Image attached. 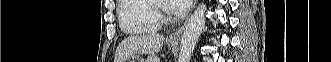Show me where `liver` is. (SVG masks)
<instances>
[{"label":"liver","instance_id":"obj_1","mask_svg":"<svg viewBox=\"0 0 331 62\" xmlns=\"http://www.w3.org/2000/svg\"><path fill=\"white\" fill-rule=\"evenodd\" d=\"M164 43V36L160 34H143L124 39L117 47L114 62H125L135 54L158 53Z\"/></svg>","mask_w":331,"mask_h":62}]
</instances>
